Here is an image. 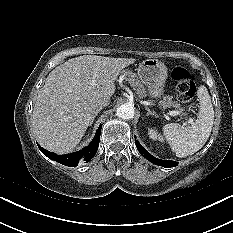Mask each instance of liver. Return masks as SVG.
<instances>
[{"mask_svg":"<svg viewBox=\"0 0 233 233\" xmlns=\"http://www.w3.org/2000/svg\"><path fill=\"white\" fill-rule=\"evenodd\" d=\"M136 60L83 55L52 70L38 92L32 126L38 143L63 154L73 150L86 132L97 102L111 97L121 70ZM97 86H92V78Z\"/></svg>","mask_w":233,"mask_h":233,"instance_id":"1","label":"liver"}]
</instances>
